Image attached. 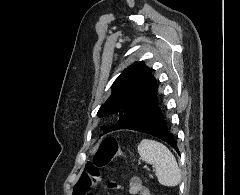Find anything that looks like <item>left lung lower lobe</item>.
<instances>
[{"label": "left lung lower lobe", "mask_w": 240, "mask_h": 195, "mask_svg": "<svg viewBox=\"0 0 240 195\" xmlns=\"http://www.w3.org/2000/svg\"><path fill=\"white\" fill-rule=\"evenodd\" d=\"M121 129H130L152 134L171 145L178 153L174 137L168 130L161 109L158 106V97H154L128 124Z\"/></svg>", "instance_id": "obj_1"}]
</instances>
